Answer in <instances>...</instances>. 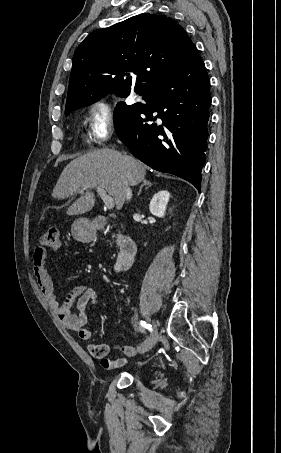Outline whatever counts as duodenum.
Listing matches in <instances>:
<instances>
[{"label": "duodenum", "instance_id": "410a0bca", "mask_svg": "<svg viewBox=\"0 0 281 453\" xmlns=\"http://www.w3.org/2000/svg\"><path fill=\"white\" fill-rule=\"evenodd\" d=\"M106 224L105 219H98L96 221V225L98 227H102ZM118 246H119V254L116 261V270L122 271L127 269L132 262L134 261L136 252H137V245L136 242L126 236V235H119L118 236Z\"/></svg>", "mask_w": 281, "mask_h": 453}]
</instances>
